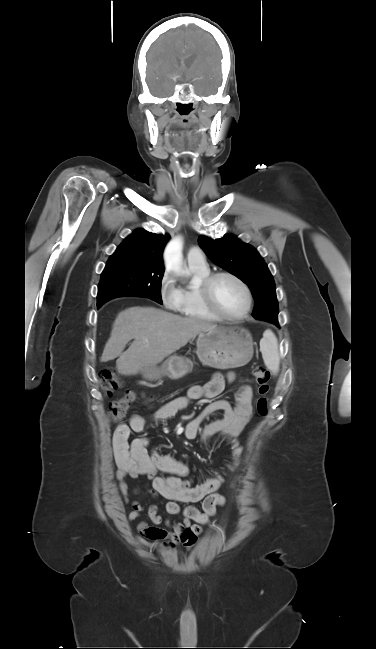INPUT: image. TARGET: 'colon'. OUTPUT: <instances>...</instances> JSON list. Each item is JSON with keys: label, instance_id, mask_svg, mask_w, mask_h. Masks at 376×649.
<instances>
[{"label": "colon", "instance_id": "1", "mask_svg": "<svg viewBox=\"0 0 376 649\" xmlns=\"http://www.w3.org/2000/svg\"><path fill=\"white\" fill-rule=\"evenodd\" d=\"M253 376L257 383L259 394L257 410L261 416H266L268 414L267 394L269 392L270 372L266 367L258 365L253 369ZM101 386L104 392L110 394L121 387V381L115 371L103 370L101 372ZM135 396L134 391L127 390L123 397L113 401L108 408V416L110 419H122L135 401Z\"/></svg>", "mask_w": 376, "mask_h": 649}]
</instances>
